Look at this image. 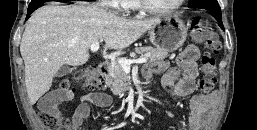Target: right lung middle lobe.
<instances>
[{"label":"right lung middle lobe","instance_id":"dd1d6c3e","mask_svg":"<svg viewBox=\"0 0 257 130\" xmlns=\"http://www.w3.org/2000/svg\"><path fill=\"white\" fill-rule=\"evenodd\" d=\"M44 2L43 0H32L29 7H28V11H34L36 10L38 7H40Z\"/></svg>","mask_w":257,"mask_h":130}]
</instances>
